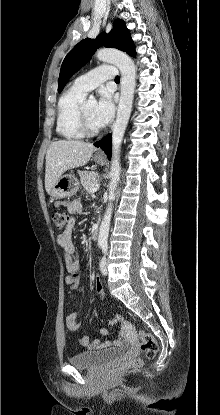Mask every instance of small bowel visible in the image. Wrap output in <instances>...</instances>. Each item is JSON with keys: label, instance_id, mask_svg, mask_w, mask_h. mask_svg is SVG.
I'll return each instance as SVG.
<instances>
[{"label": "small bowel", "instance_id": "c3829d8e", "mask_svg": "<svg viewBox=\"0 0 220 415\" xmlns=\"http://www.w3.org/2000/svg\"><path fill=\"white\" fill-rule=\"evenodd\" d=\"M67 210L72 215L68 221V224L64 231L57 236V243L65 252L68 258L67 268L71 276L68 278V283L70 285V290L73 293L75 289L79 286L78 277L74 275L78 274L79 266L77 261L74 258V245L72 242V233L76 223V216L82 214L83 206L79 199L73 201L68 207ZM95 289L98 293L104 294V285L100 279L95 280ZM67 328L72 331H78L80 324L77 320V314L71 313L67 316ZM108 334V331L105 328L99 330L100 338L94 341H90L88 336L80 335L78 336V342L84 347H87L90 350H99L106 349L112 346H118L121 344V340H105L104 337Z\"/></svg>", "mask_w": 220, "mask_h": 415}]
</instances>
